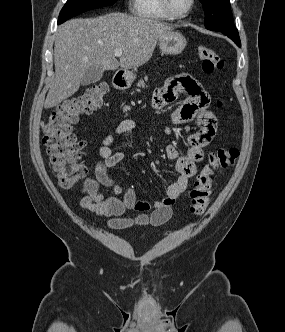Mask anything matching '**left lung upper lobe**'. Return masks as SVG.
<instances>
[{
  "label": "left lung upper lobe",
  "instance_id": "5c2ea615",
  "mask_svg": "<svg viewBox=\"0 0 285 332\" xmlns=\"http://www.w3.org/2000/svg\"><path fill=\"white\" fill-rule=\"evenodd\" d=\"M205 12V27L225 34L238 35L229 0H200Z\"/></svg>",
  "mask_w": 285,
  "mask_h": 332
}]
</instances>
